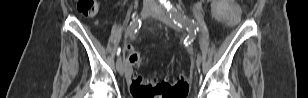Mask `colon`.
<instances>
[{
    "instance_id": "5ec220e1",
    "label": "colon",
    "mask_w": 308,
    "mask_h": 98,
    "mask_svg": "<svg viewBox=\"0 0 308 98\" xmlns=\"http://www.w3.org/2000/svg\"><path fill=\"white\" fill-rule=\"evenodd\" d=\"M77 10L83 16L92 17L98 11V3L95 0H79ZM128 59L133 65H139L144 61L141 55L134 52L129 54ZM188 90L189 83L185 76L173 83H154L136 76L131 83V92L137 98H185Z\"/></svg>"
}]
</instances>
